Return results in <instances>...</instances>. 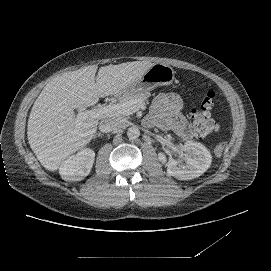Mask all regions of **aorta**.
I'll list each match as a JSON object with an SVG mask.
<instances>
[{
  "instance_id": "aorta-1",
  "label": "aorta",
  "mask_w": 271,
  "mask_h": 271,
  "mask_svg": "<svg viewBox=\"0 0 271 271\" xmlns=\"http://www.w3.org/2000/svg\"><path fill=\"white\" fill-rule=\"evenodd\" d=\"M127 136L130 140L137 139L140 136V130L136 126H131L127 130Z\"/></svg>"
}]
</instances>
